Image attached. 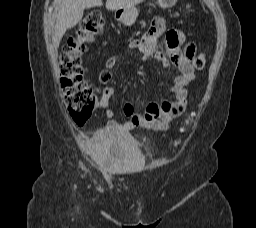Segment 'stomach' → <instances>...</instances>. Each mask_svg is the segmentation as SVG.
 Listing matches in <instances>:
<instances>
[{"mask_svg":"<svg viewBox=\"0 0 256 228\" xmlns=\"http://www.w3.org/2000/svg\"><path fill=\"white\" fill-rule=\"evenodd\" d=\"M158 5L163 8L173 7L177 0H157ZM138 17V10L135 6L117 9L115 11V18L126 26L133 25Z\"/></svg>","mask_w":256,"mask_h":228,"instance_id":"obj_1","label":"stomach"}]
</instances>
